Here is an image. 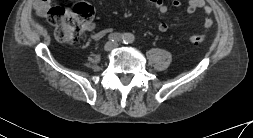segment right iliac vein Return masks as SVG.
Masks as SVG:
<instances>
[{"label":"right iliac vein","instance_id":"1","mask_svg":"<svg viewBox=\"0 0 253 138\" xmlns=\"http://www.w3.org/2000/svg\"><path fill=\"white\" fill-rule=\"evenodd\" d=\"M113 43L112 42H107L104 46L105 51H110L113 48Z\"/></svg>","mask_w":253,"mask_h":138}]
</instances>
